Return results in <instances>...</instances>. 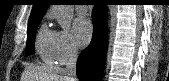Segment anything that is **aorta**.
I'll return each mask as SVG.
<instances>
[{
	"label": "aorta",
	"mask_w": 169,
	"mask_h": 81,
	"mask_svg": "<svg viewBox=\"0 0 169 81\" xmlns=\"http://www.w3.org/2000/svg\"><path fill=\"white\" fill-rule=\"evenodd\" d=\"M53 10L58 24L64 30H69L73 19V7L72 5H54ZM113 8H110V15L113 14Z\"/></svg>",
	"instance_id": "1"
}]
</instances>
